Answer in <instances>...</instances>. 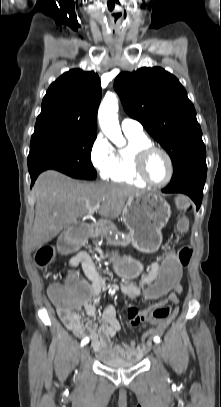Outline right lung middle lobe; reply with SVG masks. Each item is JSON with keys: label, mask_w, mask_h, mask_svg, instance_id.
<instances>
[{"label": "right lung middle lobe", "mask_w": 221, "mask_h": 407, "mask_svg": "<svg viewBox=\"0 0 221 407\" xmlns=\"http://www.w3.org/2000/svg\"><path fill=\"white\" fill-rule=\"evenodd\" d=\"M96 135L49 129L35 131L28 156L29 173L55 169L79 179H95L90 153Z\"/></svg>", "instance_id": "dd1d6c3e"}]
</instances>
